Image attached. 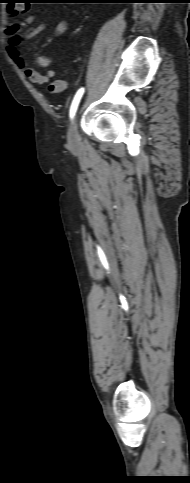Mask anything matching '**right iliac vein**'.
Segmentation results:
<instances>
[{"instance_id": "1", "label": "right iliac vein", "mask_w": 190, "mask_h": 483, "mask_svg": "<svg viewBox=\"0 0 190 483\" xmlns=\"http://www.w3.org/2000/svg\"><path fill=\"white\" fill-rule=\"evenodd\" d=\"M69 143L74 145L77 142V117L74 118L73 124L69 130Z\"/></svg>"}]
</instances>
